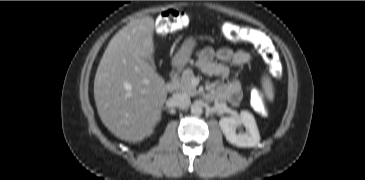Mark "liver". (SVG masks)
<instances>
[{"label":"liver","mask_w":365,"mask_h":180,"mask_svg":"<svg viewBox=\"0 0 365 180\" xmlns=\"http://www.w3.org/2000/svg\"><path fill=\"white\" fill-rule=\"evenodd\" d=\"M154 19H134L109 42L94 80L102 123L121 140L137 143L161 120L165 80L146 58L155 52Z\"/></svg>","instance_id":"6515ba94"}]
</instances>
